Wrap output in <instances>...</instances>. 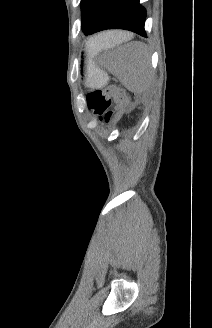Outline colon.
Returning <instances> with one entry per match:
<instances>
[{
    "instance_id": "5ec220e1",
    "label": "colon",
    "mask_w": 212,
    "mask_h": 328,
    "mask_svg": "<svg viewBox=\"0 0 212 328\" xmlns=\"http://www.w3.org/2000/svg\"><path fill=\"white\" fill-rule=\"evenodd\" d=\"M126 101V95L123 89L119 87H108L104 90H94L86 97L87 107L92 111L100 121L110 122L112 112L109 107L112 104L121 106Z\"/></svg>"
}]
</instances>
